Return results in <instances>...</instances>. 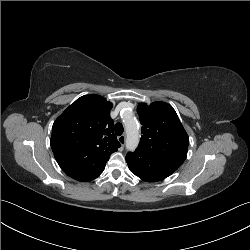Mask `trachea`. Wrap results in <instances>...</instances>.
I'll list each match as a JSON object with an SVG mask.
<instances>
[{
    "instance_id": "3493384b",
    "label": "trachea",
    "mask_w": 250,
    "mask_h": 250,
    "mask_svg": "<svg viewBox=\"0 0 250 250\" xmlns=\"http://www.w3.org/2000/svg\"><path fill=\"white\" fill-rule=\"evenodd\" d=\"M114 130H115V133L120 136L122 135L123 131H124V128H123V125L121 123H117L114 127Z\"/></svg>"
}]
</instances>
